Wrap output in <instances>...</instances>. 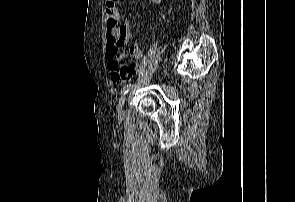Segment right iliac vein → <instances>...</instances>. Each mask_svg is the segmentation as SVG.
<instances>
[{"label": "right iliac vein", "instance_id": "obj_1", "mask_svg": "<svg viewBox=\"0 0 295 202\" xmlns=\"http://www.w3.org/2000/svg\"><path fill=\"white\" fill-rule=\"evenodd\" d=\"M126 99H127V96L126 95H124L120 99L119 104H118V114H121L122 113Z\"/></svg>", "mask_w": 295, "mask_h": 202}]
</instances>
